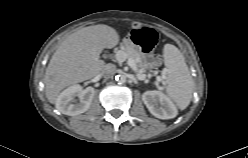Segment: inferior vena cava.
Masks as SVG:
<instances>
[{
    "label": "inferior vena cava",
    "mask_w": 248,
    "mask_h": 158,
    "mask_svg": "<svg viewBox=\"0 0 248 158\" xmlns=\"http://www.w3.org/2000/svg\"><path fill=\"white\" fill-rule=\"evenodd\" d=\"M116 72V66L114 64H106L104 69L102 70V76L104 78H112Z\"/></svg>",
    "instance_id": "inferior-vena-cava-1"
}]
</instances>
